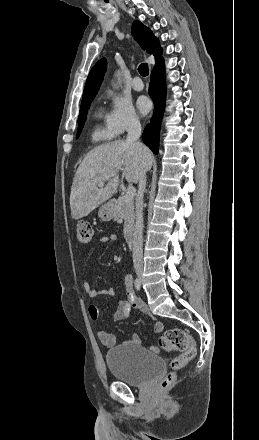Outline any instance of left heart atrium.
I'll list each match as a JSON object with an SVG mask.
<instances>
[{"instance_id": "39dd6f15", "label": "left heart atrium", "mask_w": 259, "mask_h": 440, "mask_svg": "<svg viewBox=\"0 0 259 440\" xmlns=\"http://www.w3.org/2000/svg\"><path fill=\"white\" fill-rule=\"evenodd\" d=\"M136 104L142 114H146L151 108V103L145 96H140Z\"/></svg>"}]
</instances>
